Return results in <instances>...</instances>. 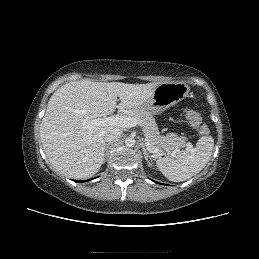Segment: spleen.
I'll return each mask as SVG.
<instances>
[{"label": "spleen", "instance_id": "obj_1", "mask_svg": "<svg viewBox=\"0 0 259 259\" xmlns=\"http://www.w3.org/2000/svg\"><path fill=\"white\" fill-rule=\"evenodd\" d=\"M214 147L212 136H202L195 148L179 151L157 161V167L170 181L181 182L199 173L209 162Z\"/></svg>", "mask_w": 259, "mask_h": 259}]
</instances>
